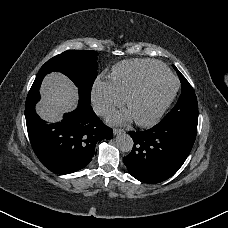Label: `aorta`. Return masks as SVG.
<instances>
[{"mask_svg":"<svg viewBox=\"0 0 228 228\" xmlns=\"http://www.w3.org/2000/svg\"><path fill=\"white\" fill-rule=\"evenodd\" d=\"M117 148L122 152H130L133 148V139L128 134H119L115 139Z\"/></svg>","mask_w":228,"mask_h":228,"instance_id":"aorta-1","label":"aorta"}]
</instances>
